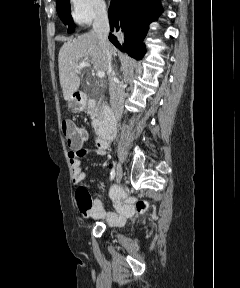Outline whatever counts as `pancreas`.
Instances as JSON below:
<instances>
[{
  "label": "pancreas",
  "instance_id": "obj_1",
  "mask_svg": "<svg viewBox=\"0 0 240 288\" xmlns=\"http://www.w3.org/2000/svg\"><path fill=\"white\" fill-rule=\"evenodd\" d=\"M98 86L102 87L101 84H98ZM98 105L102 106V105H105V104H104V102L100 101L98 103ZM90 116H91L92 119H96V118H98V113L96 111H90Z\"/></svg>",
  "mask_w": 240,
  "mask_h": 288
}]
</instances>
